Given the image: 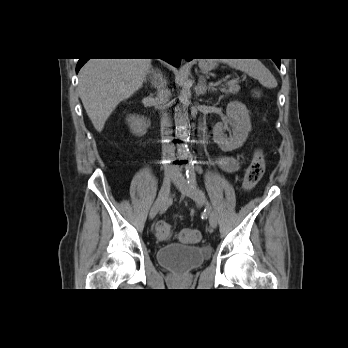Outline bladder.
<instances>
[{"mask_svg": "<svg viewBox=\"0 0 348 348\" xmlns=\"http://www.w3.org/2000/svg\"><path fill=\"white\" fill-rule=\"evenodd\" d=\"M209 255V249L200 245L168 244L157 250L158 262L178 272L192 270Z\"/></svg>", "mask_w": 348, "mask_h": 348, "instance_id": "1", "label": "bladder"}]
</instances>
